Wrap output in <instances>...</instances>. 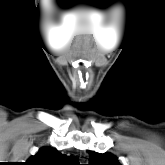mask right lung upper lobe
Here are the masks:
<instances>
[{
	"mask_svg": "<svg viewBox=\"0 0 165 165\" xmlns=\"http://www.w3.org/2000/svg\"><path fill=\"white\" fill-rule=\"evenodd\" d=\"M24 165H80L74 156L62 155L50 147H44Z\"/></svg>",
	"mask_w": 165,
	"mask_h": 165,
	"instance_id": "obj_1",
	"label": "right lung upper lobe"
}]
</instances>
